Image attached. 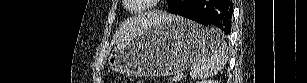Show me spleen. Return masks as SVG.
Returning <instances> with one entry per match:
<instances>
[{
  "label": "spleen",
  "instance_id": "obj_1",
  "mask_svg": "<svg viewBox=\"0 0 307 83\" xmlns=\"http://www.w3.org/2000/svg\"><path fill=\"white\" fill-rule=\"evenodd\" d=\"M208 34L212 41V52L192 65L190 75L195 80L207 79L218 74L228 60V48L221 32L210 28Z\"/></svg>",
  "mask_w": 307,
  "mask_h": 83
}]
</instances>
